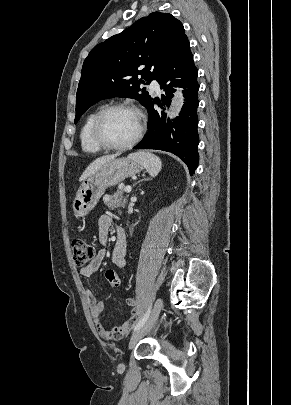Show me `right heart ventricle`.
Instances as JSON below:
<instances>
[{"mask_svg": "<svg viewBox=\"0 0 291 405\" xmlns=\"http://www.w3.org/2000/svg\"><path fill=\"white\" fill-rule=\"evenodd\" d=\"M97 113V111H93L86 116L79 133L81 149L89 154H95L102 150L91 137V126Z\"/></svg>", "mask_w": 291, "mask_h": 405, "instance_id": "obj_1", "label": "right heart ventricle"}]
</instances>
